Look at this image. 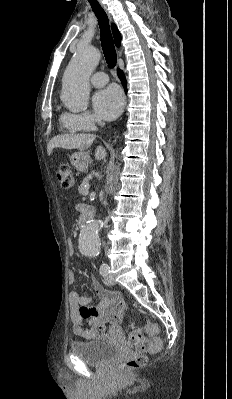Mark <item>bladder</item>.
<instances>
[{
  "label": "bladder",
  "instance_id": "31cf9c89",
  "mask_svg": "<svg viewBox=\"0 0 232 399\" xmlns=\"http://www.w3.org/2000/svg\"><path fill=\"white\" fill-rule=\"evenodd\" d=\"M69 347L73 354L93 365L106 364L119 356L122 351L119 345L104 340L73 341Z\"/></svg>",
  "mask_w": 232,
  "mask_h": 399
}]
</instances>
